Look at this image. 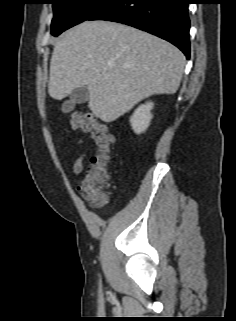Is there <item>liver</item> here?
I'll list each match as a JSON object with an SVG mask.
<instances>
[{"label": "liver", "mask_w": 236, "mask_h": 321, "mask_svg": "<svg viewBox=\"0 0 236 321\" xmlns=\"http://www.w3.org/2000/svg\"><path fill=\"white\" fill-rule=\"evenodd\" d=\"M185 56L171 43L139 29L109 21H85L55 44L49 95L62 100L83 86L88 107L112 122L154 94H174Z\"/></svg>", "instance_id": "liver-1"}]
</instances>
